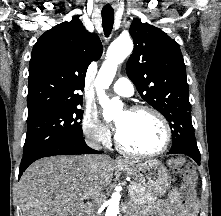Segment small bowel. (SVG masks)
Returning a JSON list of instances; mask_svg holds the SVG:
<instances>
[{"mask_svg": "<svg viewBox=\"0 0 221 216\" xmlns=\"http://www.w3.org/2000/svg\"><path fill=\"white\" fill-rule=\"evenodd\" d=\"M197 204H181L180 193L172 190L168 198L160 205L156 216H196Z\"/></svg>", "mask_w": 221, "mask_h": 216, "instance_id": "small-bowel-1", "label": "small bowel"}]
</instances>
